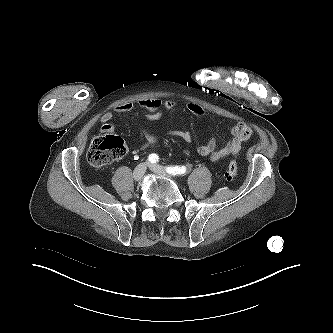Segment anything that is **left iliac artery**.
Returning <instances> with one entry per match:
<instances>
[{"label": "left iliac artery", "mask_w": 333, "mask_h": 333, "mask_svg": "<svg viewBox=\"0 0 333 333\" xmlns=\"http://www.w3.org/2000/svg\"><path fill=\"white\" fill-rule=\"evenodd\" d=\"M166 171L173 175H182L187 172V168L185 166H170L166 168Z\"/></svg>", "instance_id": "left-iliac-artery-1"}]
</instances>
